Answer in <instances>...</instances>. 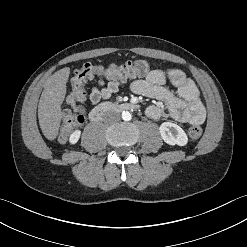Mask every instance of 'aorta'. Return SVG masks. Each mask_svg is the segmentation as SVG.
Masks as SVG:
<instances>
[{
    "label": "aorta",
    "mask_w": 247,
    "mask_h": 247,
    "mask_svg": "<svg viewBox=\"0 0 247 247\" xmlns=\"http://www.w3.org/2000/svg\"><path fill=\"white\" fill-rule=\"evenodd\" d=\"M131 118H132V116H131L130 112L124 111V112L122 113V119H123L124 121H129V120H131Z\"/></svg>",
    "instance_id": "762f6f07"
}]
</instances>
